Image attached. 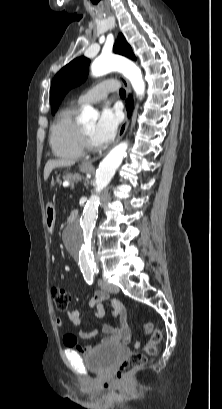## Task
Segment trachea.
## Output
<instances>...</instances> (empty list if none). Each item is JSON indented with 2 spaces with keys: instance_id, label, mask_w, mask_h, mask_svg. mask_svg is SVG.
I'll list each match as a JSON object with an SVG mask.
<instances>
[{
  "instance_id": "obj_1",
  "label": "trachea",
  "mask_w": 222,
  "mask_h": 409,
  "mask_svg": "<svg viewBox=\"0 0 222 409\" xmlns=\"http://www.w3.org/2000/svg\"><path fill=\"white\" fill-rule=\"evenodd\" d=\"M119 94H120V96H121L122 98H125V96H126V92H125V90L122 89V88L120 89Z\"/></svg>"
}]
</instances>
